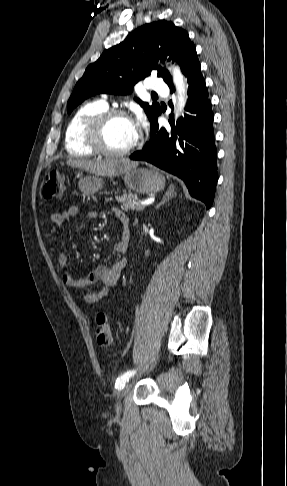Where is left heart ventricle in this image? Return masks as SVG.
<instances>
[{
  "instance_id": "b2bd125f",
  "label": "left heart ventricle",
  "mask_w": 287,
  "mask_h": 486,
  "mask_svg": "<svg viewBox=\"0 0 287 486\" xmlns=\"http://www.w3.org/2000/svg\"><path fill=\"white\" fill-rule=\"evenodd\" d=\"M135 127L131 120L115 118L106 127L103 135L105 145L113 150H121L136 140Z\"/></svg>"
}]
</instances>
